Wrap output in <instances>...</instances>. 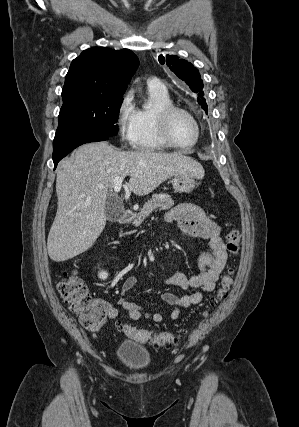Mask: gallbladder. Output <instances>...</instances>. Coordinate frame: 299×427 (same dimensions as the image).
<instances>
[{
    "label": "gallbladder",
    "mask_w": 299,
    "mask_h": 427,
    "mask_svg": "<svg viewBox=\"0 0 299 427\" xmlns=\"http://www.w3.org/2000/svg\"><path fill=\"white\" fill-rule=\"evenodd\" d=\"M124 206L120 197L109 194L105 203V215L109 222L120 221L123 217Z\"/></svg>",
    "instance_id": "1"
}]
</instances>
